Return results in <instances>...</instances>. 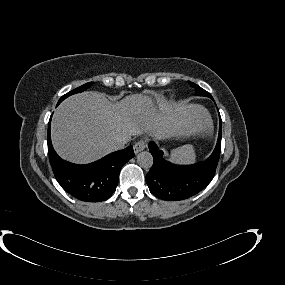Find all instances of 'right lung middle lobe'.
Wrapping results in <instances>:
<instances>
[{
	"label": "right lung middle lobe",
	"mask_w": 285,
	"mask_h": 285,
	"mask_svg": "<svg viewBox=\"0 0 285 285\" xmlns=\"http://www.w3.org/2000/svg\"><path fill=\"white\" fill-rule=\"evenodd\" d=\"M92 84H93L92 82L86 83V84H84V85H82V86H80V87H78V88H76V89H74V90H72V91L66 93L65 95H63V96L60 98L59 102L63 101L65 98H67L68 96H70V95H72V94L80 93V92L86 90V89H87L88 87H90Z\"/></svg>",
	"instance_id": "obj_1"
}]
</instances>
